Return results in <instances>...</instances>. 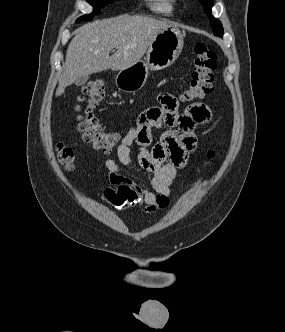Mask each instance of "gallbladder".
<instances>
[{
  "instance_id": "gallbladder-1",
  "label": "gallbladder",
  "mask_w": 285,
  "mask_h": 332,
  "mask_svg": "<svg viewBox=\"0 0 285 332\" xmlns=\"http://www.w3.org/2000/svg\"><path fill=\"white\" fill-rule=\"evenodd\" d=\"M88 79H89V76H88V75H86V76H81V77H79V78L76 79V81H75V85H76V86L84 85V84L87 82Z\"/></svg>"
}]
</instances>
